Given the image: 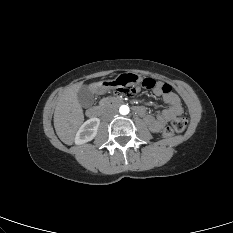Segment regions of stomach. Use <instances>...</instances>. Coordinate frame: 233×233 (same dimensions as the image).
<instances>
[{"label": "stomach", "instance_id": "1", "mask_svg": "<svg viewBox=\"0 0 233 233\" xmlns=\"http://www.w3.org/2000/svg\"><path fill=\"white\" fill-rule=\"evenodd\" d=\"M140 82L141 79L139 75L124 71L120 73V75L113 77V79L107 78L103 80V82L96 84V91L99 93H116L120 91V89L127 87V85L135 88L139 86Z\"/></svg>", "mask_w": 233, "mask_h": 233}]
</instances>
